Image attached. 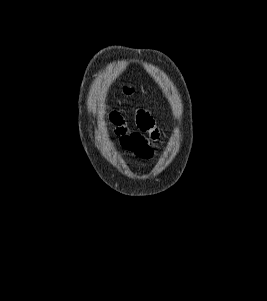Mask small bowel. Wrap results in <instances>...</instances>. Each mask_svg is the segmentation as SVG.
I'll use <instances>...</instances> for the list:
<instances>
[{
  "instance_id": "obj_1",
  "label": "small bowel",
  "mask_w": 267,
  "mask_h": 301,
  "mask_svg": "<svg viewBox=\"0 0 267 301\" xmlns=\"http://www.w3.org/2000/svg\"><path fill=\"white\" fill-rule=\"evenodd\" d=\"M110 122L120 139L121 147L131 156L140 159H151L154 156L159 130L149 112L137 111L135 131H129L126 120L116 111L110 113Z\"/></svg>"
}]
</instances>
